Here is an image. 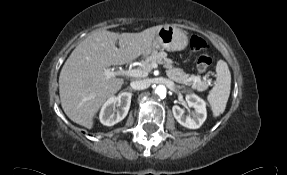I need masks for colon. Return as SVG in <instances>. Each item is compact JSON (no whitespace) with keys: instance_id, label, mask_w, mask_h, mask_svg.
<instances>
[{"instance_id":"1","label":"colon","mask_w":287,"mask_h":175,"mask_svg":"<svg viewBox=\"0 0 287 175\" xmlns=\"http://www.w3.org/2000/svg\"><path fill=\"white\" fill-rule=\"evenodd\" d=\"M190 48L193 51L201 53L197 60V70L200 73H205L212 63V59L208 53V44L202 37L193 35L190 39Z\"/></svg>"}]
</instances>
